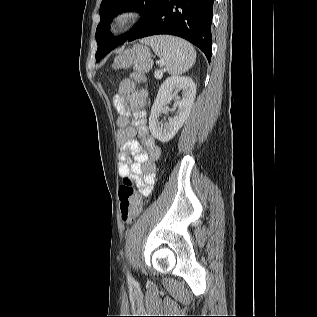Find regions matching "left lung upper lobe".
I'll return each mask as SVG.
<instances>
[{
  "label": "left lung upper lobe",
  "mask_w": 317,
  "mask_h": 317,
  "mask_svg": "<svg viewBox=\"0 0 317 317\" xmlns=\"http://www.w3.org/2000/svg\"><path fill=\"white\" fill-rule=\"evenodd\" d=\"M162 0H102L100 5V23L96 29V41L98 49L96 52V61L99 60L101 50L106 44L115 42L123 44L126 40L133 41L147 26L149 21L155 15ZM135 10L143 15V18L126 35L114 38L108 31L110 20L119 13Z\"/></svg>",
  "instance_id": "1"
}]
</instances>
